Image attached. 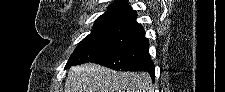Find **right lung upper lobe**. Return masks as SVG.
Masks as SVG:
<instances>
[{
    "mask_svg": "<svg viewBox=\"0 0 225 92\" xmlns=\"http://www.w3.org/2000/svg\"><path fill=\"white\" fill-rule=\"evenodd\" d=\"M137 13L126 1L117 0L110 4L108 11L99 16L95 24H120L143 31V27L136 21Z\"/></svg>",
    "mask_w": 225,
    "mask_h": 92,
    "instance_id": "cb5924a9",
    "label": "right lung upper lobe"
}]
</instances>
